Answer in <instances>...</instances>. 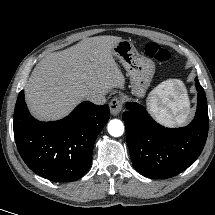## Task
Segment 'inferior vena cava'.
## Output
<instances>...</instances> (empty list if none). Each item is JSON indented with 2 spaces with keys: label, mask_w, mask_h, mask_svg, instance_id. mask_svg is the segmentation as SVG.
<instances>
[{
  "label": "inferior vena cava",
  "mask_w": 215,
  "mask_h": 215,
  "mask_svg": "<svg viewBox=\"0 0 215 215\" xmlns=\"http://www.w3.org/2000/svg\"><path fill=\"white\" fill-rule=\"evenodd\" d=\"M86 99L89 100L90 102L96 104V105H103L106 102V94L104 93H89L86 96Z\"/></svg>",
  "instance_id": "inferior-vena-cava-1"
}]
</instances>
